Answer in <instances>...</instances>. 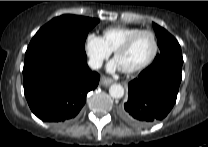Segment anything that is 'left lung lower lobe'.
<instances>
[{
  "label": "left lung lower lobe",
  "instance_id": "obj_1",
  "mask_svg": "<svg viewBox=\"0 0 208 147\" xmlns=\"http://www.w3.org/2000/svg\"><path fill=\"white\" fill-rule=\"evenodd\" d=\"M182 65L183 61L162 57L142 71L129 83L128 100L119 109L121 118L135 127L165 118L176 102Z\"/></svg>",
  "mask_w": 208,
  "mask_h": 147
}]
</instances>
